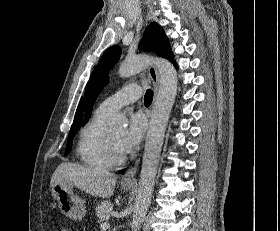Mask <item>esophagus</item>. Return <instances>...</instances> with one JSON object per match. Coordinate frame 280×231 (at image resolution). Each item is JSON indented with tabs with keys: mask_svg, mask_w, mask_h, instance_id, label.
<instances>
[{
	"mask_svg": "<svg viewBox=\"0 0 280 231\" xmlns=\"http://www.w3.org/2000/svg\"><path fill=\"white\" fill-rule=\"evenodd\" d=\"M149 77L152 80L154 85V93L156 95L158 87H159V73L156 67L150 66L148 69ZM140 163V156L137 158L135 163L131 168H129L126 173L122 176L121 181H133L135 178V174L137 172L138 166Z\"/></svg>",
	"mask_w": 280,
	"mask_h": 231,
	"instance_id": "obj_1",
	"label": "esophagus"
}]
</instances>
